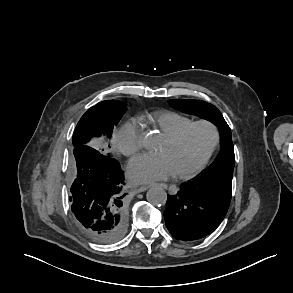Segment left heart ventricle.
Segmentation results:
<instances>
[{"mask_svg":"<svg viewBox=\"0 0 293 293\" xmlns=\"http://www.w3.org/2000/svg\"><path fill=\"white\" fill-rule=\"evenodd\" d=\"M211 140L212 132L208 127L195 126L176 143L165 140L160 153L170 159L175 173L186 172L201 160Z\"/></svg>","mask_w":293,"mask_h":293,"instance_id":"b2bd125f","label":"left heart ventricle"}]
</instances>
